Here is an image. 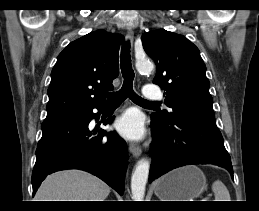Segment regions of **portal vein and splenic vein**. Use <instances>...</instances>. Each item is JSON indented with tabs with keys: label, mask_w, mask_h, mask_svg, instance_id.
<instances>
[{
	"label": "portal vein and splenic vein",
	"mask_w": 259,
	"mask_h": 211,
	"mask_svg": "<svg viewBox=\"0 0 259 211\" xmlns=\"http://www.w3.org/2000/svg\"><path fill=\"white\" fill-rule=\"evenodd\" d=\"M207 199H208V198H205V199H203L202 201H208Z\"/></svg>",
	"instance_id": "18ae733b"
}]
</instances>
